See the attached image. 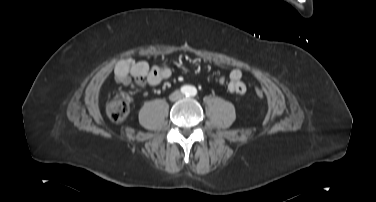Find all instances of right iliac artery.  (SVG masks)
<instances>
[{
  "label": "right iliac artery",
  "instance_id": "right-iliac-artery-1",
  "mask_svg": "<svg viewBox=\"0 0 376 202\" xmlns=\"http://www.w3.org/2000/svg\"><path fill=\"white\" fill-rule=\"evenodd\" d=\"M189 87L188 86H183L182 88H181V92L182 93H184V94H187L188 92H189Z\"/></svg>",
  "mask_w": 376,
  "mask_h": 202
}]
</instances>
